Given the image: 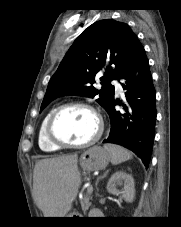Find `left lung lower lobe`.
Wrapping results in <instances>:
<instances>
[{"mask_svg":"<svg viewBox=\"0 0 181 227\" xmlns=\"http://www.w3.org/2000/svg\"><path fill=\"white\" fill-rule=\"evenodd\" d=\"M119 79L126 90V102L120 103L124 113L115 110L117 101L106 109L111 120V131L104 143L122 145L135 154L148 167L156 123V93L143 46L138 44Z\"/></svg>","mask_w":181,"mask_h":227,"instance_id":"left-lung-lower-lobe-1","label":"left lung lower lobe"}]
</instances>
